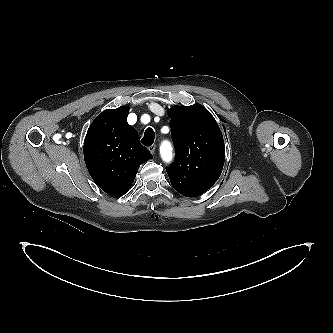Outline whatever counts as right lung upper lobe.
Masks as SVG:
<instances>
[{
  "mask_svg": "<svg viewBox=\"0 0 333 333\" xmlns=\"http://www.w3.org/2000/svg\"><path fill=\"white\" fill-rule=\"evenodd\" d=\"M128 113V106L103 111L92 122L84 141V159L91 177L112 196L125 194L139 166L153 158L127 123Z\"/></svg>",
  "mask_w": 333,
  "mask_h": 333,
  "instance_id": "right-lung-upper-lobe-1",
  "label": "right lung upper lobe"
}]
</instances>
